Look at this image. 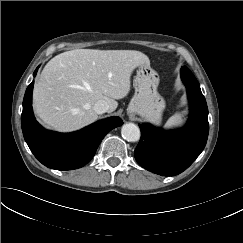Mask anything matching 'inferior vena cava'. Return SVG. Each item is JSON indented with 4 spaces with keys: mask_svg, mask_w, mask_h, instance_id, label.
Listing matches in <instances>:
<instances>
[{
    "mask_svg": "<svg viewBox=\"0 0 243 243\" xmlns=\"http://www.w3.org/2000/svg\"><path fill=\"white\" fill-rule=\"evenodd\" d=\"M94 110L98 114H103L109 110V105L104 100H99L94 105Z\"/></svg>",
    "mask_w": 243,
    "mask_h": 243,
    "instance_id": "obj_1",
    "label": "inferior vena cava"
}]
</instances>
